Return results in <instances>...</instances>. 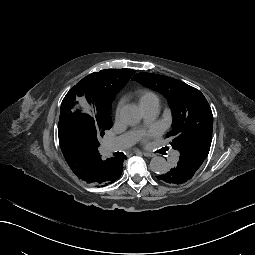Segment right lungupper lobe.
I'll return each mask as SVG.
<instances>
[{"mask_svg": "<svg viewBox=\"0 0 255 255\" xmlns=\"http://www.w3.org/2000/svg\"><path fill=\"white\" fill-rule=\"evenodd\" d=\"M134 72L131 69H106L89 74L70 89L62 103L80 116L95 118L111 113L116 94ZM61 150L74 174L87 183L103 187L121 176L125 157L104 159L97 148L61 147Z\"/></svg>", "mask_w": 255, "mask_h": 255, "instance_id": "1", "label": "right lung upper lobe"}]
</instances>
